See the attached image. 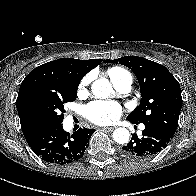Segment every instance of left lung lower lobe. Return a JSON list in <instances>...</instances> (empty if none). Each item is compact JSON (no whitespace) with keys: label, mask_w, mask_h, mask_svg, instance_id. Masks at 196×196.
I'll return each instance as SVG.
<instances>
[{"label":"left lung lower lobe","mask_w":196,"mask_h":196,"mask_svg":"<svg viewBox=\"0 0 196 196\" xmlns=\"http://www.w3.org/2000/svg\"><path fill=\"white\" fill-rule=\"evenodd\" d=\"M144 125L142 137L133 134L131 141L122 147L124 155L136 158L153 156L163 150L173 137L156 124L144 123Z\"/></svg>","instance_id":"1"}]
</instances>
